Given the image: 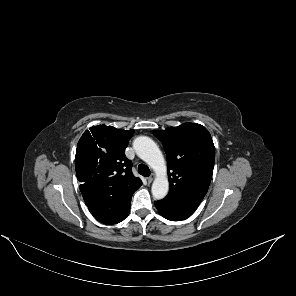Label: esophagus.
I'll list each match as a JSON object with an SVG mask.
<instances>
[{
  "mask_svg": "<svg viewBox=\"0 0 296 296\" xmlns=\"http://www.w3.org/2000/svg\"><path fill=\"white\" fill-rule=\"evenodd\" d=\"M155 178V175L154 174H151L148 178H147V182L148 184L152 183V181L154 180Z\"/></svg>",
  "mask_w": 296,
  "mask_h": 296,
  "instance_id": "obj_1",
  "label": "esophagus"
}]
</instances>
